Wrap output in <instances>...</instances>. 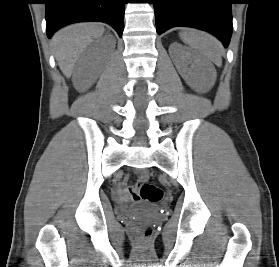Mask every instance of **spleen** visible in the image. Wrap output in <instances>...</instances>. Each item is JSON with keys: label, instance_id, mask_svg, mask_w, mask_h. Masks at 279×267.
Segmentation results:
<instances>
[{"label": "spleen", "instance_id": "spleen-1", "mask_svg": "<svg viewBox=\"0 0 279 267\" xmlns=\"http://www.w3.org/2000/svg\"><path fill=\"white\" fill-rule=\"evenodd\" d=\"M184 43L197 50L205 59L220 67L222 65V45L213 36L196 30H185L180 33Z\"/></svg>", "mask_w": 279, "mask_h": 267}]
</instances>
